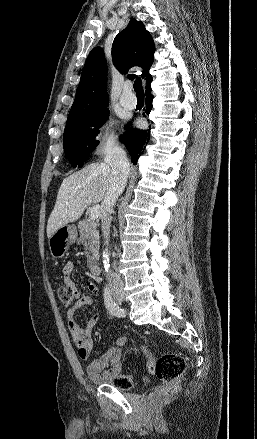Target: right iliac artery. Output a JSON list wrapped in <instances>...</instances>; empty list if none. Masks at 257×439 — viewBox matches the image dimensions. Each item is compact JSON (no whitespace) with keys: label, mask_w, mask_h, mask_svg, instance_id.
Listing matches in <instances>:
<instances>
[{"label":"right iliac artery","mask_w":257,"mask_h":439,"mask_svg":"<svg viewBox=\"0 0 257 439\" xmlns=\"http://www.w3.org/2000/svg\"><path fill=\"white\" fill-rule=\"evenodd\" d=\"M104 302L107 310L114 316L122 317L125 312L120 308L112 299L109 289L106 287L104 289Z\"/></svg>","instance_id":"obj_1"}]
</instances>
